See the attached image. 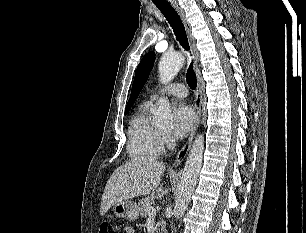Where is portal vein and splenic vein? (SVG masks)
<instances>
[{
  "label": "portal vein and splenic vein",
  "mask_w": 306,
  "mask_h": 233,
  "mask_svg": "<svg viewBox=\"0 0 306 233\" xmlns=\"http://www.w3.org/2000/svg\"><path fill=\"white\" fill-rule=\"evenodd\" d=\"M147 212H148L149 216H153V215L156 214V209L154 207L150 206V207H148Z\"/></svg>",
  "instance_id": "obj_1"
}]
</instances>
